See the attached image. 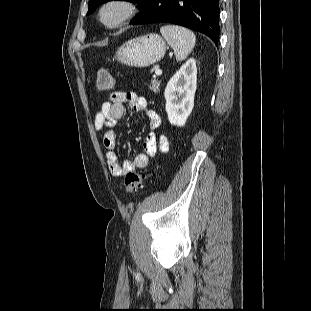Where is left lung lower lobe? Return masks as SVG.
I'll use <instances>...</instances> for the list:
<instances>
[{
  "label": "left lung lower lobe",
  "mask_w": 311,
  "mask_h": 311,
  "mask_svg": "<svg viewBox=\"0 0 311 311\" xmlns=\"http://www.w3.org/2000/svg\"><path fill=\"white\" fill-rule=\"evenodd\" d=\"M130 24L172 23L207 35L218 45L219 0H145Z\"/></svg>",
  "instance_id": "1"
}]
</instances>
